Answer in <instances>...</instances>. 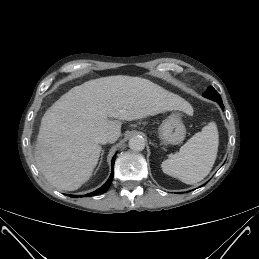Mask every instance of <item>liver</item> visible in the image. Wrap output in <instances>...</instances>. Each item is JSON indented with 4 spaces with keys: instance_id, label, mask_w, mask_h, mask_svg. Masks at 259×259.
<instances>
[{
    "instance_id": "6515ba94",
    "label": "liver",
    "mask_w": 259,
    "mask_h": 259,
    "mask_svg": "<svg viewBox=\"0 0 259 259\" xmlns=\"http://www.w3.org/2000/svg\"><path fill=\"white\" fill-rule=\"evenodd\" d=\"M191 105L150 80L124 75L102 77L73 87L44 114L35 147L38 170L57 190L74 191L87 182L98 163L95 138L121 135V120L132 121Z\"/></svg>"
}]
</instances>
